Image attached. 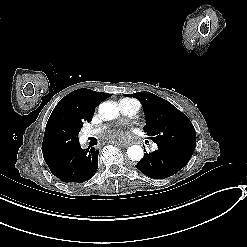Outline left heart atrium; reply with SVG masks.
Segmentation results:
<instances>
[{"label": "left heart atrium", "mask_w": 247, "mask_h": 247, "mask_svg": "<svg viewBox=\"0 0 247 247\" xmlns=\"http://www.w3.org/2000/svg\"><path fill=\"white\" fill-rule=\"evenodd\" d=\"M102 135L104 144H111L117 147L126 146L127 142L131 138V133L125 132L119 126L118 129L107 130L102 132Z\"/></svg>", "instance_id": "left-heart-atrium-1"}]
</instances>
